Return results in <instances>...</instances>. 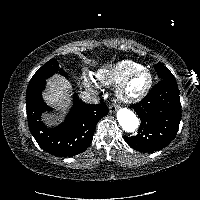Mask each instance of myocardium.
<instances>
[{"label": "myocardium", "mask_w": 200, "mask_h": 200, "mask_svg": "<svg viewBox=\"0 0 200 200\" xmlns=\"http://www.w3.org/2000/svg\"><path fill=\"white\" fill-rule=\"evenodd\" d=\"M142 73L147 74V76H148V82H147L146 86L140 93H138L136 95L129 94L127 91L129 83L136 76H138L139 74H142ZM152 85H153L152 74L146 68H141V69H138V70L132 72L121 83L118 84V86L116 88V97L122 103L134 104V103H137V102L143 100L148 95V93L150 92V90L152 88Z\"/></svg>", "instance_id": "1"}]
</instances>
